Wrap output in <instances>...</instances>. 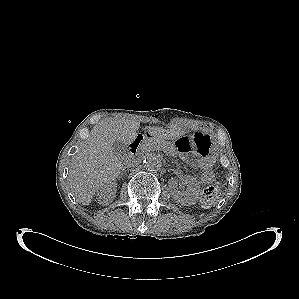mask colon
Returning a JSON list of instances; mask_svg holds the SVG:
<instances>
[{
  "label": "colon",
  "instance_id": "5ec220e1",
  "mask_svg": "<svg viewBox=\"0 0 299 299\" xmlns=\"http://www.w3.org/2000/svg\"><path fill=\"white\" fill-rule=\"evenodd\" d=\"M202 180L207 186L202 191L201 203L204 206H210L217 198L219 187L214 183V173L210 170L203 173Z\"/></svg>",
  "mask_w": 299,
  "mask_h": 299
}]
</instances>
